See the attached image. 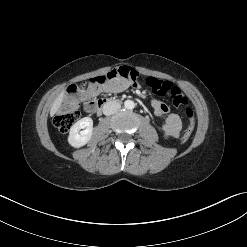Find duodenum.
Listing matches in <instances>:
<instances>
[{
    "label": "duodenum",
    "mask_w": 247,
    "mask_h": 247,
    "mask_svg": "<svg viewBox=\"0 0 247 247\" xmlns=\"http://www.w3.org/2000/svg\"><path fill=\"white\" fill-rule=\"evenodd\" d=\"M116 103H118V101L115 100V99H111V98H105V99L99 100L98 104H97V113L101 114L103 109L106 106H109V105H112V104H116Z\"/></svg>",
    "instance_id": "duodenum-1"
}]
</instances>
